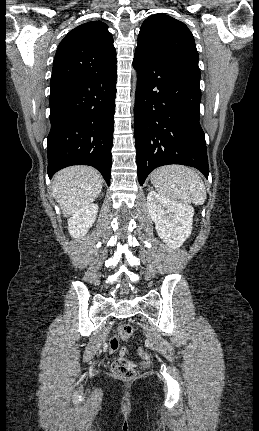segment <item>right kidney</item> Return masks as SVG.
<instances>
[{
	"label": "right kidney",
	"instance_id": "obj_1",
	"mask_svg": "<svg viewBox=\"0 0 259 431\" xmlns=\"http://www.w3.org/2000/svg\"><path fill=\"white\" fill-rule=\"evenodd\" d=\"M98 212L97 204H90L73 214L68 220V231L73 238H81L86 235L93 225Z\"/></svg>",
	"mask_w": 259,
	"mask_h": 431
}]
</instances>
